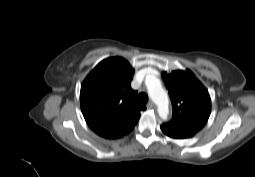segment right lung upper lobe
<instances>
[{"label":"right lung upper lobe","mask_w":255,"mask_h":177,"mask_svg":"<svg viewBox=\"0 0 255 177\" xmlns=\"http://www.w3.org/2000/svg\"><path fill=\"white\" fill-rule=\"evenodd\" d=\"M134 69L121 57L101 61L81 86L80 103L88 126L99 136L116 139L136 125L146 107L135 101L130 82Z\"/></svg>","instance_id":"obj_1"}]
</instances>
